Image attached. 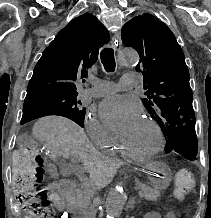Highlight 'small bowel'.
Segmentation results:
<instances>
[{"instance_id":"small-bowel-1","label":"small bowel","mask_w":211,"mask_h":218,"mask_svg":"<svg viewBox=\"0 0 211 218\" xmlns=\"http://www.w3.org/2000/svg\"><path fill=\"white\" fill-rule=\"evenodd\" d=\"M47 190L50 191L49 200L60 211L64 212L66 209V203L61 195V191L58 187V182H52L47 186ZM144 218H162L157 211L148 212ZM165 218H174V214L169 212L165 215Z\"/></svg>"}]
</instances>
